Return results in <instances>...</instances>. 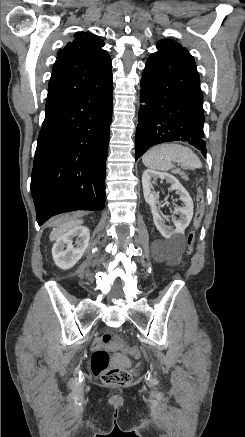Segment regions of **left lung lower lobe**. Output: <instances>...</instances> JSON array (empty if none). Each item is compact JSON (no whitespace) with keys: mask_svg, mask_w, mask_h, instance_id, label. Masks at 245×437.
I'll use <instances>...</instances> for the list:
<instances>
[{"mask_svg":"<svg viewBox=\"0 0 245 437\" xmlns=\"http://www.w3.org/2000/svg\"><path fill=\"white\" fill-rule=\"evenodd\" d=\"M141 78L135 160L150 147L184 141L206 157L203 95L193 57L173 45H157Z\"/></svg>","mask_w":245,"mask_h":437,"instance_id":"obj_1","label":"left lung lower lobe"}]
</instances>
